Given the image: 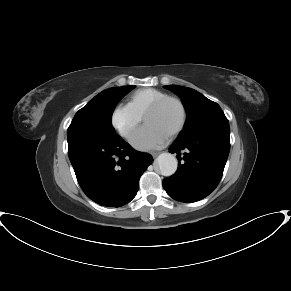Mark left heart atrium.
<instances>
[{"mask_svg": "<svg viewBox=\"0 0 291 291\" xmlns=\"http://www.w3.org/2000/svg\"><path fill=\"white\" fill-rule=\"evenodd\" d=\"M169 135L152 125L145 124L131 137L132 145L139 150L156 149L164 145Z\"/></svg>", "mask_w": 291, "mask_h": 291, "instance_id": "1", "label": "left heart atrium"}]
</instances>
